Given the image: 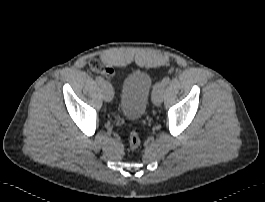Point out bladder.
Returning <instances> with one entry per match:
<instances>
[{"instance_id": "bladder-1", "label": "bladder", "mask_w": 265, "mask_h": 202, "mask_svg": "<svg viewBox=\"0 0 265 202\" xmlns=\"http://www.w3.org/2000/svg\"><path fill=\"white\" fill-rule=\"evenodd\" d=\"M150 76L143 71L128 75L120 91V111L128 120L140 119L146 110L151 91Z\"/></svg>"}]
</instances>
